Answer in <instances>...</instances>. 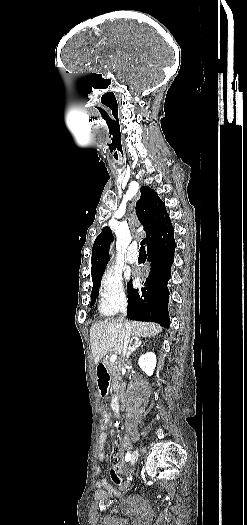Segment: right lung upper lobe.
<instances>
[{
  "instance_id": "obj_1",
  "label": "right lung upper lobe",
  "mask_w": 247,
  "mask_h": 525,
  "mask_svg": "<svg viewBox=\"0 0 247 525\" xmlns=\"http://www.w3.org/2000/svg\"><path fill=\"white\" fill-rule=\"evenodd\" d=\"M141 197L136 204V212L146 231L147 240L170 225L171 221L165 209V204L157 193L148 186L140 189ZM112 234L105 227L96 238L92 249V275L103 274L108 262V245L112 241Z\"/></svg>"
}]
</instances>
